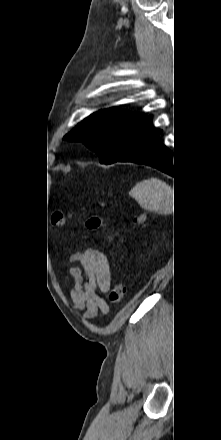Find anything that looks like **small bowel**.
<instances>
[{
  "label": "small bowel",
  "mask_w": 221,
  "mask_h": 440,
  "mask_svg": "<svg viewBox=\"0 0 221 440\" xmlns=\"http://www.w3.org/2000/svg\"><path fill=\"white\" fill-rule=\"evenodd\" d=\"M70 261H79L83 270L70 267L69 274L74 279V287L70 290V297L74 307L84 310V317L88 319L104 315L109 306L99 292L105 293L110 288V264L104 253L96 249H88L84 253L74 254Z\"/></svg>",
  "instance_id": "obj_1"
}]
</instances>
